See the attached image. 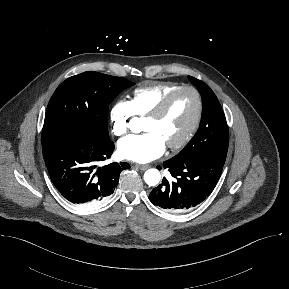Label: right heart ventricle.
<instances>
[{
  "label": "right heart ventricle",
  "mask_w": 289,
  "mask_h": 289,
  "mask_svg": "<svg viewBox=\"0 0 289 289\" xmlns=\"http://www.w3.org/2000/svg\"><path fill=\"white\" fill-rule=\"evenodd\" d=\"M178 87L180 85L176 83L158 82L136 88L130 101L134 115L147 116L168 93Z\"/></svg>",
  "instance_id": "e07e8e85"
}]
</instances>
